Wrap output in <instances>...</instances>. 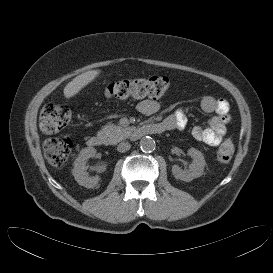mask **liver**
<instances>
[{
    "label": "liver",
    "instance_id": "1",
    "mask_svg": "<svg viewBox=\"0 0 273 273\" xmlns=\"http://www.w3.org/2000/svg\"><path fill=\"white\" fill-rule=\"evenodd\" d=\"M100 73L101 70H89L76 76L71 82H69L65 86L63 90L65 98H71L78 94L80 90H82L85 86L94 81Z\"/></svg>",
    "mask_w": 273,
    "mask_h": 273
}]
</instances>
